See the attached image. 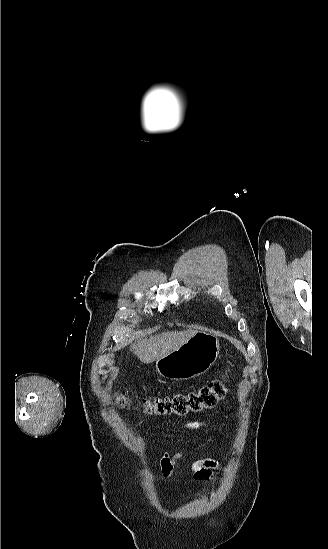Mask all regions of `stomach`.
Instances as JSON below:
<instances>
[{
	"label": "stomach",
	"instance_id": "0dacf381",
	"mask_svg": "<svg viewBox=\"0 0 328 549\" xmlns=\"http://www.w3.org/2000/svg\"><path fill=\"white\" fill-rule=\"evenodd\" d=\"M220 343L214 331L200 329L179 349L156 361V369L164 379L187 381L204 375L214 365Z\"/></svg>",
	"mask_w": 328,
	"mask_h": 549
}]
</instances>
